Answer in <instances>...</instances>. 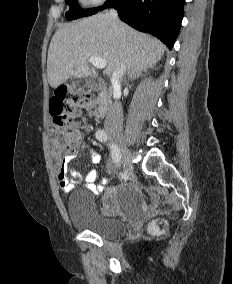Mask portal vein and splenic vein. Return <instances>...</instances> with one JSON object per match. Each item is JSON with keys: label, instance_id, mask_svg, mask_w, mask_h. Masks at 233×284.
<instances>
[{"label": "portal vein and splenic vein", "instance_id": "18ae733b", "mask_svg": "<svg viewBox=\"0 0 233 284\" xmlns=\"http://www.w3.org/2000/svg\"><path fill=\"white\" fill-rule=\"evenodd\" d=\"M89 61L98 69H104L106 67V61L101 57L91 56Z\"/></svg>", "mask_w": 233, "mask_h": 284}]
</instances>
